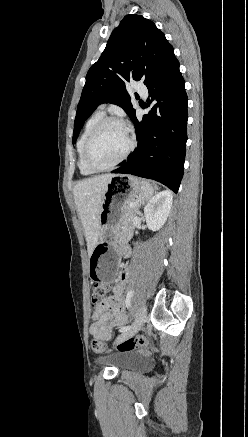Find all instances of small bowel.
<instances>
[{"instance_id":"small-bowel-1","label":"small bowel","mask_w":248,"mask_h":437,"mask_svg":"<svg viewBox=\"0 0 248 437\" xmlns=\"http://www.w3.org/2000/svg\"><path fill=\"white\" fill-rule=\"evenodd\" d=\"M128 277L129 270L123 268L117 284L113 287L112 295L95 305L89 327V332L93 337L109 340L113 329L125 323L123 293Z\"/></svg>"}]
</instances>
